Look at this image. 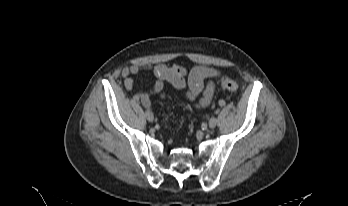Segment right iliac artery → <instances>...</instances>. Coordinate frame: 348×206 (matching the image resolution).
I'll use <instances>...</instances> for the list:
<instances>
[{"instance_id": "82829eb1", "label": "right iliac artery", "mask_w": 348, "mask_h": 206, "mask_svg": "<svg viewBox=\"0 0 348 206\" xmlns=\"http://www.w3.org/2000/svg\"><path fill=\"white\" fill-rule=\"evenodd\" d=\"M139 99H140L139 95H134L133 102H139Z\"/></svg>"}]
</instances>
